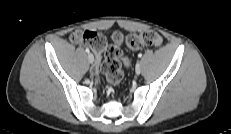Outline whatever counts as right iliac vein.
I'll use <instances>...</instances> for the list:
<instances>
[{
	"mask_svg": "<svg viewBox=\"0 0 231 134\" xmlns=\"http://www.w3.org/2000/svg\"><path fill=\"white\" fill-rule=\"evenodd\" d=\"M87 58H88V61H89L90 63H93V61H94V56H93L92 53H88Z\"/></svg>",
	"mask_w": 231,
	"mask_h": 134,
	"instance_id": "1",
	"label": "right iliac vein"
}]
</instances>
